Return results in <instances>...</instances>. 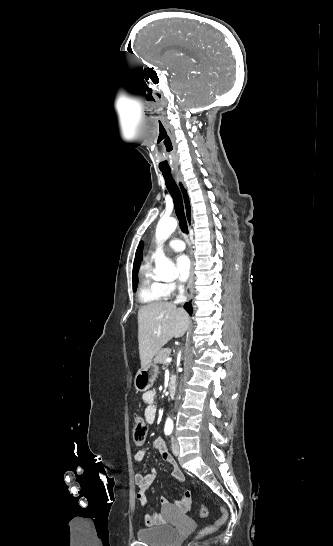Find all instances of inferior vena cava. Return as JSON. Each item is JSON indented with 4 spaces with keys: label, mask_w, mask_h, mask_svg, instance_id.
Listing matches in <instances>:
<instances>
[{
    "label": "inferior vena cava",
    "mask_w": 333,
    "mask_h": 546,
    "mask_svg": "<svg viewBox=\"0 0 333 546\" xmlns=\"http://www.w3.org/2000/svg\"><path fill=\"white\" fill-rule=\"evenodd\" d=\"M178 290H179V294L178 296L176 297V300H175V303H184L186 302L187 298L186 296L184 295V286L183 285H179L178 286Z\"/></svg>",
    "instance_id": "obj_1"
}]
</instances>
